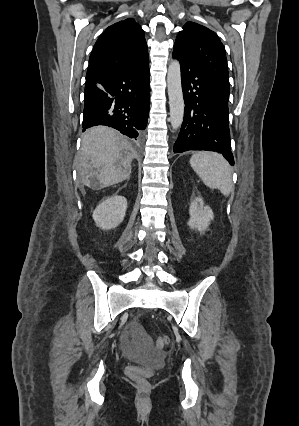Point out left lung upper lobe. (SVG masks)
<instances>
[{"mask_svg": "<svg viewBox=\"0 0 299 426\" xmlns=\"http://www.w3.org/2000/svg\"><path fill=\"white\" fill-rule=\"evenodd\" d=\"M173 51L206 71L217 83L229 90L225 48L215 32L200 24L187 22L177 35Z\"/></svg>", "mask_w": 299, "mask_h": 426, "instance_id": "obj_1", "label": "left lung upper lobe"}]
</instances>
